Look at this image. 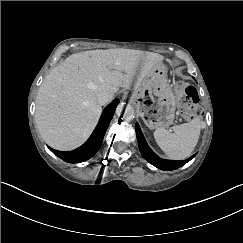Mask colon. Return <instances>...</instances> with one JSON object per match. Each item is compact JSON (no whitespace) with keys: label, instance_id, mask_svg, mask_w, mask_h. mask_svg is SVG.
Here are the masks:
<instances>
[{"label":"colon","instance_id":"5ec220e1","mask_svg":"<svg viewBox=\"0 0 243 243\" xmlns=\"http://www.w3.org/2000/svg\"><path fill=\"white\" fill-rule=\"evenodd\" d=\"M175 95L183 118L193 120L200 116V109L197 106V92L193 87L178 83L175 87Z\"/></svg>","mask_w":243,"mask_h":243}]
</instances>
